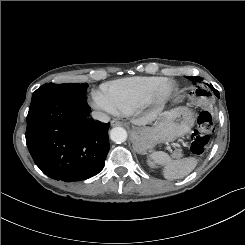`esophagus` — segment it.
<instances>
[{
  "label": "esophagus",
  "mask_w": 245,
  "mask_h": 245,
  "mask_svg": "<svg viewBox=\"0 0 245 245\" xmlns=\"http://www.w3.org/2000/svg\"><path fill=\"white\" fill-rule=\"evenodd\" d=\"M120 125H122V122H120V121H117V120H113V121H111V126H120Z\"/></svg>",
  "instance_id": "obj_1"
}]
</instances>
